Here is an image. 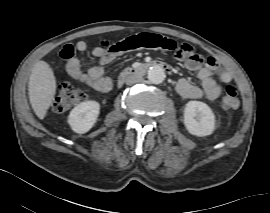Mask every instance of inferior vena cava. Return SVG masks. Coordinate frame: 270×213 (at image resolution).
I'll list each match as a JSON object with an SVG mask.
<instances>
[{
    "label": "inferior vena cava",
    "instance_id": "obj_1",
    "mask_svg": "<svg viewBox=\"0 0 270 213\" xmlns=\"http://www.w3.org/2000/svg\"><path fill=\"white\" fill-rule=\"evenodd\" d=\"M143 80V78L138 75V74H130L126 77L125 79V83L127 85H132V84H135V83H139Z\"/></svg>",
    "mask_w": 270,
    "mask_h": 213
}]
</instances>
